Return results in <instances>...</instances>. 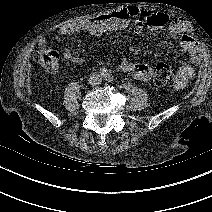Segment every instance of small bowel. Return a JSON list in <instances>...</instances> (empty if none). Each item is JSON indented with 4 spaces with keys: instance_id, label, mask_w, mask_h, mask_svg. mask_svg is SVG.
<instances>
[{
    "instance_id": "small-bowel-1",
    "label": "small bowel",
    "mask_w": 212,
    "mask_h": 212,
    "mask_svg": "<svg viewBox=\"0 0 212 212\" xmlns=\"http://www.w3.org/2000/svg\"><path fill=\"white\" fill-rule=\"evenodd\" d=\"M143 21L156 29L168 26L169 35L175 39L180 48L194 62L200 60V49L197 41L187 34L188 23L183 18L171 19L167 14L155 10H142L137 6H125L111 12H104L92 19L75 21L59 25L54 33L58 35H72L81 32L93 36H102L107 32H116L125 29L131 22L136 30L143 28ZM41 47L47 45V39L43 36L38 38ZM63 57L74 64H83L85 58L73 53L68 45L62 49ZM120 69L137 80H149L152 76V69L149 65L136 62H124ZM194 76V69L189 61H182L177 68L175 88L184 87Z\"/></svg>"
}]
</instances>
